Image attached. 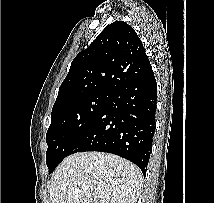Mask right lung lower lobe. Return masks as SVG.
Masks as SVG:
<instances>
[{
  "instance_id": "1",
  "label": "right lung lower lobe",
  "mask_w": 214,
  "mask_h": 203,
  "mask_svg": "<svg viewBox=\"0 0 214 203\" xmlns=\"http://www.w3.org/2000/svg\"><path fill=\"white\" fill-rule=\"evenodd\" d=\"M156 101L152 70L117 88L69 155L84 151L112 153L136 164L145 176L155 130Z\"/></svg>"
}]
</instances>
